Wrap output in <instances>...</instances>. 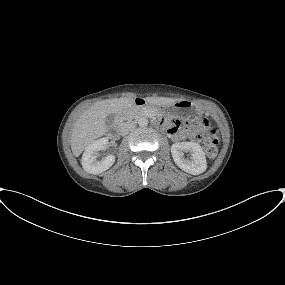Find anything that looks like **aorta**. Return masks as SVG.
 Masks as SVG:
<instances>
[{
    "label": "aorta",
    "instance_id": "1",
    "mask_svg": "<svg viewBox=\"0 0 285 285\" xmlns=\"http://www.w3.org/2000/svg\"><path fill=\"white\" fill-rule=\"evenodd\" d=\"M138 125L140 127H146L148 125V119L144 117L139 118Z\"/></svg>",
    "mask_w": 285,
    "mask_h": 285
}]
</instances>
